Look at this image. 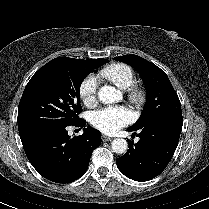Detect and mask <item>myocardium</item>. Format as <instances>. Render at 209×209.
Segmentation results:
<instances>
[{
	"label": "myocardium",
	"instance_id": "myocardium-1",
	"mask_svg": "<svg viewBox=\"0 0 209 209\" xmlns=\"http://www.w3.org/2000/svg\"><path fill=\"white\" fill-rule=\"evenodd\" d=\"M128 98H129L130 102L135 103V104H139L142 100V94L138 88L131 87L129 90Z\"/></svg>",
	"mask_w": 209,
	"mask_h": 209
}]
</instances>
